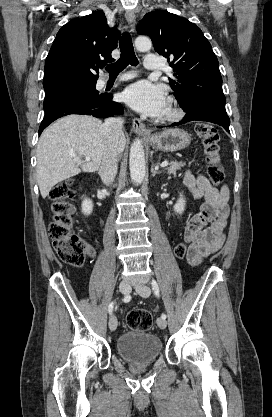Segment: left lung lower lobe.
Wrapping results in <instances>:
<instances>
[{
    "label": "left lung lower lobe",
    "instance_id": "0a47b994",
    "mask_svg": "<svg viewBox=\"0 0 272 417\" xmlns=\"http://www.w3.org/2000/svg\"><path fill=\"white\" fill-rule=\"evenodd\" d=\"M184 111L187 112L184 119L181 120L178 123L172 124L174 125H180L185 122L198 120V121H207L211 123L218 124L222 126L228 133L229 131V125H230V119L227 114L214 112L207 108H198V107H192V108H186Z\"/></svg>",
    "mask_w": 272,
    "mask_h": 417
}]
</instances>
